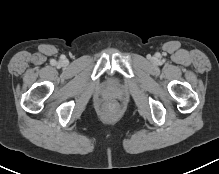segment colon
Returning <instances> with one entry per match:
<instances>
[{
  "instance_id": "1",
  "label": "colon",
  "mask_w": 219,
  "mask_h": 174,
  "mask_svg": "<svg viewBox=\"0 0 219 174\" xmlns=\"http://www.w3.org/2000/svg\"><path fill=\"white\" fill-rule=\"evenodd\" d=\"M119 112V105L114 102H107L103 107V113L107 118H113Z\"/></svg>"
}]
</instances>
